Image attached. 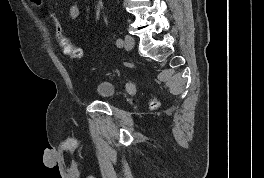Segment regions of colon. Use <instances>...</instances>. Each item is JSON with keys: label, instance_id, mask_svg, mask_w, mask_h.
<instances>
[{"label": "colon", "instance_id": "1", "mask_svg": "<svg viewBox=\"0 0 264 178\" xmlns=\"http://www.w3.org/2000/svg\"><path fill=\"white\" fill-rule=\"evenodd\" d=\"M34 4L40 6L42 0H31ZM46 18L52 26L58 43L63 51V53L73 59H80L83 56V50L77 46H74L67 36L65 35L64 29L59 21V19L53 13H47ZM157 105V104H156Z\"/></svg>", "mask_w": 264, "mask_h": 178}]
</instances>
